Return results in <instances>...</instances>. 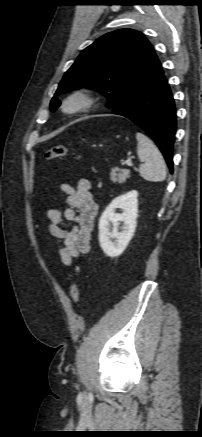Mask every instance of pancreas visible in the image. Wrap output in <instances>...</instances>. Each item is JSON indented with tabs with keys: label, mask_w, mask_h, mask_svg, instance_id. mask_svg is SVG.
<instances>
[{
	"label": "pancreas",
	"mask_w": 202,
	"mask_h": 437,
	"mask_svg": "<svg viewBox=\"0 0 202 437\" xmlns=\"http://www.w3.org/2000/svg\"><path fill=\"white\" fill-rule=\"evenodd\" d=\"M130 177V171L119 169L117 167L111 169L110 179L113 182L123 183Z\"/></svg>",
	"instance_id": "obj_1"
}]
</instances>
